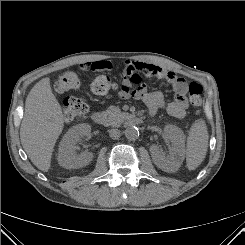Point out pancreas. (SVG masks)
<instances>
[{
	"label": "pancreas",
	"mask_w": 245,
	"mask_h": 245,
	"mask_svg": "<svg viewBox=\"0 0 245 245\" xmlns=\"http://www.w3.org/2000/svg\"><path fill=\"white\" fill-rule=\"evenodd\" d=\"M104 123L107 126L119 125L127 116V113L121 112L116 106H110L105 112H103Z\"/></svg>",
	"instance_id": "pancreas-1"
}]
</instances>
